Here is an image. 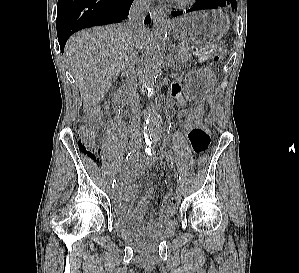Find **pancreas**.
Returning a JSON list of instances; mask_svg holds the SVG:
<instances>
[{
  "mask_svg": "<svg viewBox=\"0 0 299 273\" xmlns=\"http://www.w3.org/2000/svg\"><path fill=\"white\" fill-rule=\"evenodd\" d=\"M174 50L175 62L186 63L191 58V49L187 43H179Z\"/></svg>",
  "mask_w": 299,
  "mask_h": 273,
  "instance_id": "pancreas-1",
  "label": "pancreas"
}]
</instances>
